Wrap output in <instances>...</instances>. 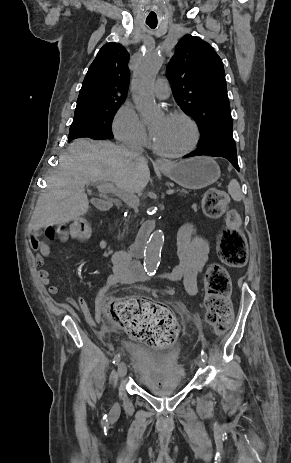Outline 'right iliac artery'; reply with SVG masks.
<instances>
[{
  "label": "right iliac artery",
  "instance_id": "right-iliac-artery-1",
  "mask_svg": "<svg viewBox=\"0 0 291 463\" xmlns=\"http://www.w3.org/2000/svg\"><path fill=\"white\" fill-rule=\"evenodd\" d=\"M120 359H121V355L119 353L116 354L115 357H114V360H113V364L117 365L120 362ZM101 424L103 426H105L107 424L106 416L103 417V419L101 421Z\"/></svg>",
  "mask_w": 291,
  "mask_h": 463
}]
</instances>
